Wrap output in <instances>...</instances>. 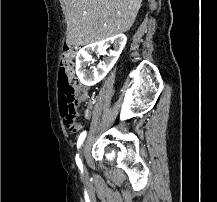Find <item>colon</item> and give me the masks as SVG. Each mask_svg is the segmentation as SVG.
<instances>
[{"label":"colon","mask_w":217,"mask_h":202,"mask_svg":"<svg viewBox=\"0 0 217 202\" xmlns=\"http://www.w3.org/2000/svg\"><path fill=\"white\" fill-rule=\"evenodd\" d=\"M77 52V47H65L63 50V59L60 60L62 67L58 68V96L59 102L62 103V111L60 117H66L63 120V125H66L67 129L72 132H77L83 127V124L79 122V111L74 99L75 91H80V86H75L74 73L78 67L75 63L74 55ZM78 103H87V98H78Z\"/></svg>","instance_id":"obj_1"}]
</instances>
